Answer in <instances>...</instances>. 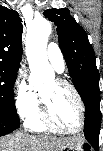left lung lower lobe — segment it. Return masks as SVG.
Wrapping results in <instances>:
<instances>
[{
	"mask_svg": "<svg viewBox=\"0 0 103 151\" xmlns=\"http://www.w3.org/2000/svg\"><path fill=\"white\" fill-rule=\"evenodd\" d=\"M81 98L86 107L84 123L85 138L97 151L102 118L100 111L99 79H88V84Z\"/></svg>",
	"mask_w": 103,
	"mask_h": 151,
	"instance_id": "obj_1",
	"label": "left lung lower lobe"
}]
</instances>
